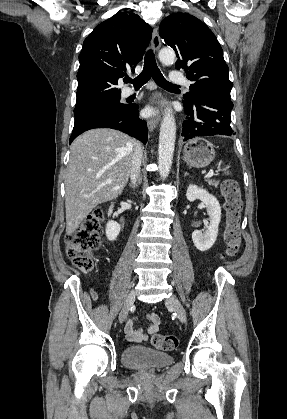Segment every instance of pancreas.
I'll list each match as a JSON object with an SVG mask.
<instances>
[{"mask_svg": "<svg viewBox=\"0 0 287 419\" xmlns=\"http://www.w3.org/2000/svg\"><path fill=\"white\" fill-rule=\"evenodd\" d=\"M207 183L210 186H215V187H217L219 185V182L218 181L216 182L215 180H207Z\"/></svg>", "mask_w": 287, "mask_h": 419, "instance_id": "obj_1", "label": "pancreas"}]
</instances>
